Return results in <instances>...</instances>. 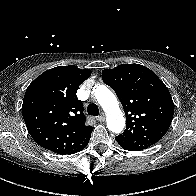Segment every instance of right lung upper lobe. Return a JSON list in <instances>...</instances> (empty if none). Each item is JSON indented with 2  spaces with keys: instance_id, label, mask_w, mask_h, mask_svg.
Instances as JSON below:
<instances>
[{
  "instance_id": "1",
  "label": "right lung upper lobe",
  "mask_w": 196,
  "mask_h": 196,
  "mask_svg": "<svg viewBox=\"0 0 196 196\" xmlns=\"http://www.w3.org/2000/svg\"><path fill=\"white\" fill-rule=\"evenodd\" d=\"M90 75L89 69L59 66L45 71L28 86L22 114L28 132L41 147L72 154L89 142L93 128L85 125L76 92Z\"/></svg>"
}]
</instances>
